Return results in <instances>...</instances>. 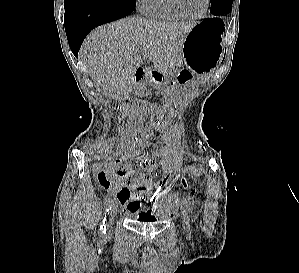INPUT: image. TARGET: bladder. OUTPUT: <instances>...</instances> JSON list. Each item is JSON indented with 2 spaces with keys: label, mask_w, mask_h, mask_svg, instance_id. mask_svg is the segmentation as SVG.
<instances>
[{
  "label": "bladder",
  "mask_w": 299,
  "mask_h": 273,
  "mask_svg": "<svg viewBox=\"0 0 299 273\" xmlns=\"http://www.w3.org/2000/svg\"><path fill=\"white\" fill-rule=\"evenodd\" d=\"M168 210L158 211L155 213L154 220L150 221V223H163L167 220ZM127 217L131 220H135L136 216L132 214H128Z\"/></svg>",
  "instance_id": "obj_1"
}]
</instances>
